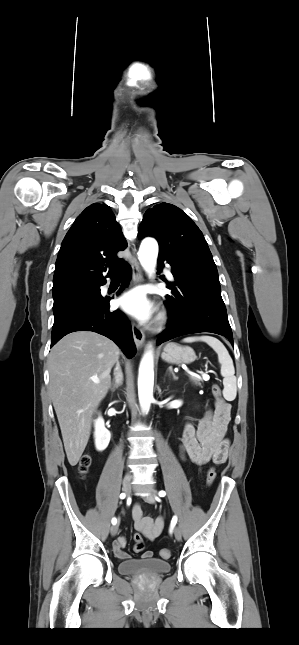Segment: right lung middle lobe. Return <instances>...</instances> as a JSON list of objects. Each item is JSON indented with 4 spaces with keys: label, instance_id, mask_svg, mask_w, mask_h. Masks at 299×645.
I'll return each instance as SVG.
<instances>
[{
    "label": "right lung middle lobe",
    "instance_id": "obj_1",
    "mask_svg": "<svg viewBox=\"0 0 299 645\" xmlns=\"http://www.w3.org/2000/svg\"><path fill=\"white\" fill-rule=\"evenodd\" d=\"M100 286L98 284H74L53 291V312L55 319L67 311L100 299Z\"/></svg>",
    "mask_w": 299,
    "mask_h": 645
}]
</instances>
